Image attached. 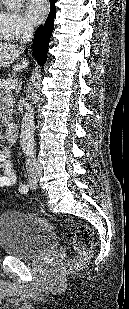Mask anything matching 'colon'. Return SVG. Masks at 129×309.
<instances>
[{"instance_id":"1","label":"colon","mask_w":129,"mask_h":309,"mask_svg":"<svg viewBox=\"0 0 129 309\" xmlns=\"http://www.w3.org/2000/svg\"><path fill=\"white\" fill-rule=\"evenodd\" d=\"M42 224L52 227L48 222L34 216ZM73 247L78 255L68 261L63 266V271L68 272L82 267L91 257L93 251V238L91 230L88 226L81 225L76 227L70 234Z\"/></svg>"}]
</instances>
